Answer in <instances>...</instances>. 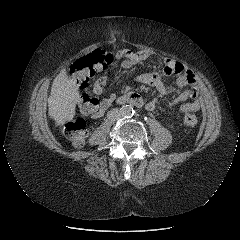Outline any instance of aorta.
<instances>
[{"instance_id": "aorta-1", "label": "aorta", "mask_w": 240, "mask_h": 240, "mask_svg": "<svg viewBox=\"0 0 240 240\" xmlns=\"http://www.w3.org/2000/svg\"><path fill=\"white\" fill-rule=\"evenodd\" d=\"M123 117H131L134 114V109L131 105H124L120 108Z\"/></svg>"}]
</instances>
